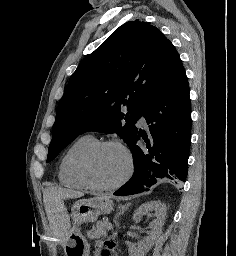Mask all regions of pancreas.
I'll list each match as a JSON object with an SVG mask.
<instances>
[{
    "label": "pancreas",
    "instance_id": "pancreas-1",
    "mask_svg": "<svg viewBox=\"0 0 236 256\" xmlns=\"http://www.w3.org/2000/svg\"><path fill=\"white\" fill-rule=\"evenodd\" d=\"M108 230H112V226H110L109 222H106V220H101V222H97L92 232H87V236L91 238V240H93V238H106Z\"/></svg>",
    "mask_w": 236,
    "mask_h": 256
}]
</instances>
